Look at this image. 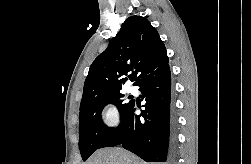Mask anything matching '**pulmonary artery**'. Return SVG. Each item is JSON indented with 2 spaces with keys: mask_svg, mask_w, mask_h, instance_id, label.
Segmentation results:
<instances>
[{
  "mask_svg": "<svg viewBox=\"0 0 251 164\" xmlns=\"http://www.w3.org/2000/svg\"><path fill=\"white\" fill-rule=\"evenodd\" d=\"M129 92L132 94V95H136L138 93V90L135 86H130L129 87Z\"/></svg>",
  "mask_w": 251,
  "mask_h": 164,
  "instance_id": "1",
  "label": "pulmonary artery"
}]
</instances>
